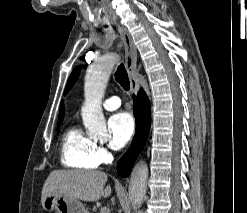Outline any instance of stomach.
Here are the masks:
<instances>
[{"label":"stomach","instance_id":"1","mask_svg":"<svg viewBox=\"0 0 247 213\" xmlns=\"http://www.w3.org/2000/svg\"><path fill=\"white\" fill-rule=\"evenodd\" d=\"M42 207L46 211L56 210L57 213H88L80 200L72 199L64 195H48L42 201Z\"/></svg>","mask_w":247,"mask_h":213}]
</instances>
